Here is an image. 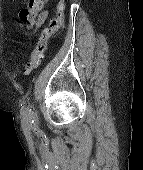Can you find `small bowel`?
Wrapping results in <instances>:
<instances>
[{"mask_svg": "<svg viewBox=\"0 0 143 170\" xmlns=\"http://www.w3.org/2000/svg\"><path fill=\"white\" fill-rule=\"evenodd\" d=\"M46 2H48L49 0H45ZM38 15V18H37V21L35 22V24L37 25H40L47 17V12L46 11H43V12H40V10L38 11L37 13ZM22 23V22H21ZM34 22H32L31 24L29 25H32ZM23 24V23H22Z\"/></svg>", "mask_w": 143, "mask_h": 170, "instance_id": "c3829d8e", "label": "small bowel"}]
</instances>
